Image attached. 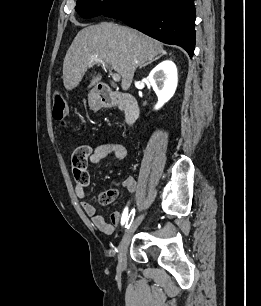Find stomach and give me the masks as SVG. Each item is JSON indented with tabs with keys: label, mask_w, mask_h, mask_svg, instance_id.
I'll use <instances>...</instances> for the list:
<instances>
[{
	"label": "stomach",
	"mask_w": 261,
	"mask_h": 306,
	"mask_svg": "<svg viewBox=\"0 0 261 306\" xmlns=\"http://www.w3.org/2000/svg\"><path fill=\"white\" fill-rule=\"evenodd\" d=\"M88 103L92 110H98L102 106L100 94L96 90L90 91L88 94Z\"/></svg>",
	"instance_id": "1"
}]
</instances>
